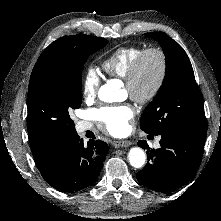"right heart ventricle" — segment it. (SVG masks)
<instances>
[{"instance_id": "obj_1", "label": "right heart ventricle", "mask_w": 221, "mask_h": 221, "mask_svg": "<svg viewBox=\"0 0 221 221\" xmlns=\"http://www.w3.org/2000/svg\"><path fill=\"white\" fill-rule=\"evenodd\" d=\"M143 50L139 46L117 48L102 61V68L110 76L125 79L132 64Z\"/></svg>"}]
</instances>
